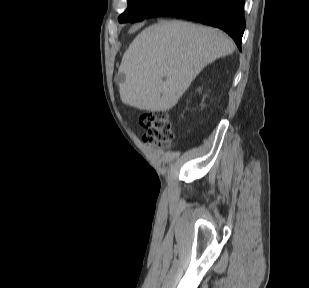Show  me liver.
<instances>
[{"label": "liver", "mask_w": 309, "mask_h": 288, "mask_svg": "<svg viewBox=\"0 0 309 288\" xmlns=\"http://www.w3.org/2000/svg\"><path fill=\"white\" fill-rule=\"evenodd\" d=\"M234 50L232 39L216 28L177 20L151 25L123 55L121 100L140 110L168 111L208 64Z\"/></svg>", "instance_id": "6515ba94"}]
</instances>
